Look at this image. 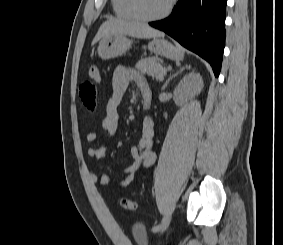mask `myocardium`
I'll return each instance as SVG.
<instances>
[{
	"label": "myocardium",
	"instance_id": "obj_1",
	"mask_svg": "<svg viewBox=\"0 0 283 245\" xmlns=\"http://www.w3.org/2000/svg\"><path fill=\"white\" fill-rule=\"evenodd\" d=\"M175 2L176 0H169L165 9L161 13L154 15V16H146L142 14L138 8L137 0H128V6H129L131 13L136 19L140 21H144V22H154V21H158V20H161L167 17L170 14L171 10L173 9Z\"/></svg>",
	"mask_w": 283,
	"mask_h": 245
}]
</instances>
